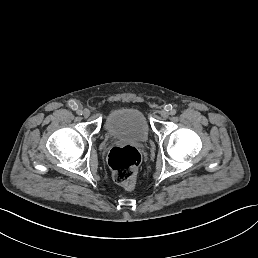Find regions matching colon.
<instances>
[{
	"mask_svg": "<svg viewBox=\"0 0 258 258\" xmlns=\"http://www.w3.org/2000/svg\"><path fill=\"white\" fill-rule=\"evenodd\" d=\"M140 162V152L130 145L113 147L108 155L114 181L127 187L134 184Z\"/></svg>",
	"mask_w": 258,
	"mask_h": 258,
	"instance_id": "colon-1",
	"label": "colon"
}]
</instances>
